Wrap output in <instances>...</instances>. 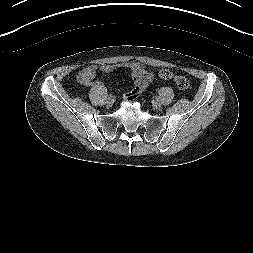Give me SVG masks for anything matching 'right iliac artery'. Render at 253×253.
<instances>
[{"mask_svg": "<svg viewBox=\"0 0 253 253\" xmlns=\"http://www.w3.org/2000/svg\"><path fill=\"white\" fill-rule=\"evenodd\" d=\"M111 97H112V95H111V94H109V95H108V98H111Z\"/></svg>", "mask_w": 253, "mask_h": 253, "instance_id": "82829eb1", "label": "right iliac artery"}]
</instances>
